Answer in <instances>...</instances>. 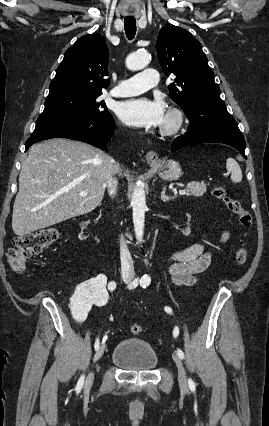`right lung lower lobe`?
Instances as JSON below:
<instances>
[{
    "instance_id": "right-lung-lower-lobe-1",
    "label": "right lung lower lobe",
    "mask_w": 269,
    "mask_h": 426,
    "mask_svg": "<svg viewBox=\"0 0 269 426\" xmlns=\"http://www.w3.org/2000/svg\"><path fill=\"white\" fill-rule=\"evenodd\" d=\"M114 130L115 122L112 115L109 113L97 120L74 123L69 126L44 132L35 137H30L26 141L25 151H27L32 144L50 138L79 140L104 150L107 148V142L113 135Z\"/></svg>"
}]
</instances>
